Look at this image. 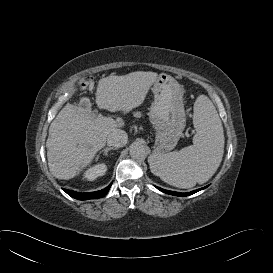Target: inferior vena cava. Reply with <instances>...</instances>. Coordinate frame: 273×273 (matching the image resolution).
Segmentation results:
<instances>
[{
  "label": "inferior vena cava",
  "instance_id": "1",
  "mask_svg": "<svg viewBox=\"0 0 273 273\" xmlns=\"http://www.w3.org/2000/svg\"><path fill=\"white\" fill-rule=\"evenodd\" d=\"M128 135L121 129H115L111 131L107 136V143L114 147H123L126 145Z\"/></svg>",
  "mask_w": 273,
  "mask_h": 273
}]
</instances>
